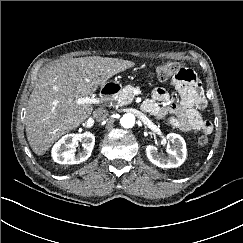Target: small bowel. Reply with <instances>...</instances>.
<instances>
[{
  "label": "small bowel",
  "instance_id": "c3829d8e",
  "mask_svg": "<svg viewBox=\"0 0 243 243\" xmlns=\"http://www.w3.org/2000/svg\"><path fill=\"white\" fill-rule=\"evenodd\" d=\"M172 85L180 96L179 103H170L168 92L163 88H156L152 99L144 103V110L157 118L170 115L171 125L181 131L210 134L213 130L212 124L200 115V110L206 105V99L193 71L185 80L173 79Z\"/></svg>",
  "mask_w": 243,
  "mask_h": 243
}]
</instances>
